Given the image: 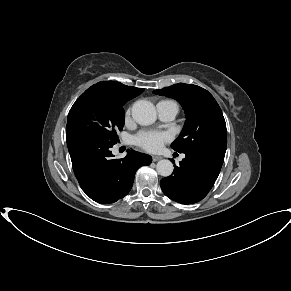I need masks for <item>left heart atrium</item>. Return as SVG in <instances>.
<instances>
[{"label":"left heart atrium","mask_w":291,"mask_h":291,"mask_svg":"<svg viewBox=\"0 0 291 291\" xmlns=\"http://www.w3.org/2000/svg\"><path fill=\"white\" fill-rule=\"evenodd\" d=\"M170 139V134L166 132L141 131L134 137V143L149 152H157Z\"/></svg>","instance_id":"39dd6f15"}]
</instances>
